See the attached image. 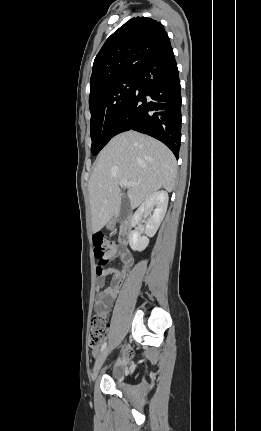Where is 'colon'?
<instances>
[{"instance_id":"5ec220e1","label":"colon","mask_w":261,"mask_h":431,"mask_svg":"<svg viewBox=\"0 0 261 431\" xmlns=\"http://www.w3.org/2000/svg\"><path fill=\"white\" fill-rule=\"evenodd\" d=\"M93 244L95 257L98 259L96 272L98 276H101L115 244L104 234L94 235ZM107 329L108 323L104 313H99L92 318L89 332V345L94 354H96L99 346L103 342Z\"/></svg>"}]
</instances>
